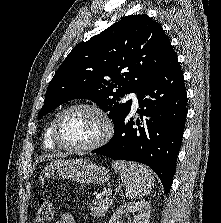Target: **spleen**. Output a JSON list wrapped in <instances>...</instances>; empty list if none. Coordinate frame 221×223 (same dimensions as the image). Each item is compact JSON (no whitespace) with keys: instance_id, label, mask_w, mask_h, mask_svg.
<instances>
[{"instance_id":"obj_1","label":"spleen","mask_w":221,"mask_h":223,"mask_svg":"<svg viewBox=\"0 0 221 223\" xmlns=\"http://www.w3.org/2000/svg\"><path fill=\"white\" fill-rule=\"evenodd\" d=\"M112 166L119 174L129 198H140L150 193L154 178L148 167L125 161H114Z\"/></svg>"}]
</instances>
